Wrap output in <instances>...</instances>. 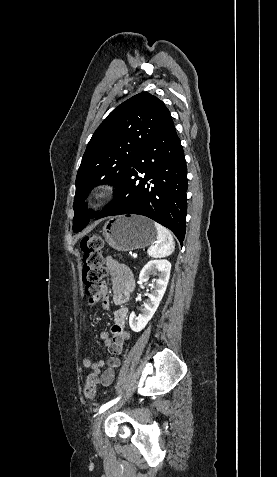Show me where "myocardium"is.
Returning <instances> with one entry per match:
<instances>
[{
	"label": "myocardium",
	"mask_w": 277,
	"mask_h": 477,
	"mask_svg": "<svg viewBox=\"0 0 277 477\" xmlns=\"http://www.w3.org/2000/svg\"><path fill=\"white\" fill-rule=\"evenodd\" d=\"M113 194V187L110 184L96 186L88 197L90 205H100L107 201Z\"/></svg>",
	"instance_id": "1"
}]
</instances>
